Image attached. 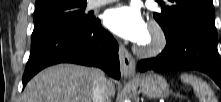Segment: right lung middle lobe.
I'll return each instance as SVG.
<instances>
[{"label":"right lung middle lobe","instance_id":"right-lung-middle-lobe-1","mask_svg":"<svg viewBox=\"0 0 221 102\" xmlns=\"http://www.w3.org/2000/svg\"><path fill=\"white\" fill-rule=\"evenodd\" d=\"M85 7L86 0H47L35 7L32 44L59 28L89 23Z\"/></svg>","mask_w":221,"mask_h":102}]
</instances>
